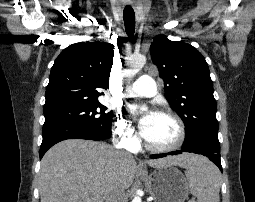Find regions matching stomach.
<instances>
[{"mask_svg":"<svg viewBox=\"0 0 255 202\" xmlns=\"http://www.w3.org/2000/svg\"><path fill=\"white\" fill-rule=\"evenodd\" d=\"M146 187L156 202H185L189 194L183 173L171 165L156 168Z\"/></svg>","mask_w":255,"mask_h":202,"instance_id":"0dacf381","label":"stomach"}]
</instances>
